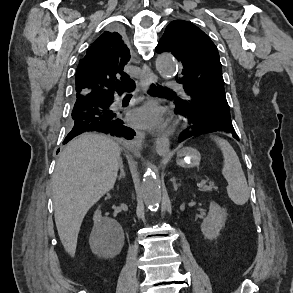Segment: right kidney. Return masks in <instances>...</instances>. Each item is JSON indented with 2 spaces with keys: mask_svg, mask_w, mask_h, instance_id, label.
I'll list each match as a JSON object with an SVG mask.
<instances>
[{
  "mask_svg": "<svg viewBox=\"0 0 293 293\" xmlns=\"http://www.w3.org/2000/svg\"><path fill=\"white\" fill-rule=\"evenodd\" d=\"M93 221L95 231L103 236L102 245L114 250L116 254L119 253L124 244V234L119 224L111 219H104L99 209L94 213Z\"/></svg>",
  "mask_w": 293,
  "mask_h": 293,
  "instance_id": "ca27d5eb",
  "label": "right kidney"
}]
</instances>
